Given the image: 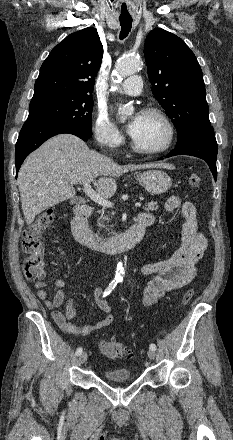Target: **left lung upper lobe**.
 I'll return each instance as SVG.
<instances>
[{"label":"left lung upper lobe","instance_id":"5c2ea615","mask_svg":"<svg viewBox=\"0 0 233 440\" xmlns=\"http://www.w3.org/2000/svg\"><path fill=\"white\" fill-rule=\"evenodd\" d=\"M144 55L152 92L177 129V143L211 127L202 70L184 41L156 28L146 38Z\"/></svg>","mask_w":233,"mask_h":440}]
</instances>
